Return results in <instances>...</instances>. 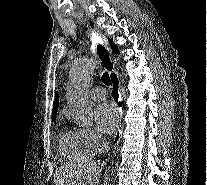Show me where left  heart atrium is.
I'll use <instances>...</instances> for the list:
<instances>
[{
  "mask_svg": "<svg viewBox=\"0 0 207 185\" xmlns=\"http://www.w3.org/2000/svg\"><path fill=\"white\" fill-rule=\"evenodd\" d=\"M119 113L117 108L110 102L100 104L95 110V122L98 129L104 133H111L117 126Z\"/></svg>",
  "mask_w": 207,
  "mask_h": 185,
  "instance_id": "1",
  "label": "left heart atrium"
}]
</instances>
